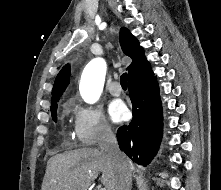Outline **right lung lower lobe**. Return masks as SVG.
Wrapping results in <instances>:
<instances>
[{
	"mask_svg": "<svg viewBox=\"0 0 221 190\" xmlns=\"http://www.w3.org/2000/svg\"><path fill=\"white\" fill-rule=\"evenodd\" d=\"M133 119L117 131L119 147L130 159L146 166L156 155L162 138V105L154 74L130 81Z\"/></svg>",
	"mask_w": 221,
	"mask_h": 190,
	"instance_id": "obj_1",
	"label": "right lung lower lobe"
}]
</instances>
